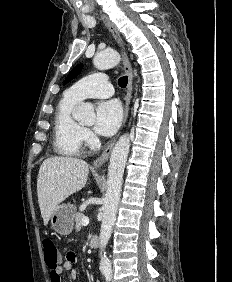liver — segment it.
Segmentation results:
<instances>
[{
	"label": "liver",
	"instance_id": "1",
	"mask_svg": "<svg viewBox=\"0 0 232 282\" xmlns=\"http://www.w3.org/2000/svg\"><path fill=\"white\" fill-rule=\"evenodd\" d=\"M89 166L82 159L51 157L43 161L37 178L38 203L46 226L55 208L87 182Z\"/></svg>",
	"mask_w": 232,
	"mask_h": 282
}]
</instances>
